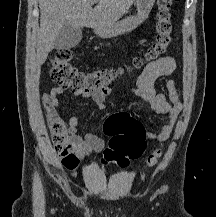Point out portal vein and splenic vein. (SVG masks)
I'll use <instances>...</instances> for the list:
<instances>
[{"label": "portal vein and splenic vein", "mask_w": 216, "mask_h": 217, "mask_svg": "<svg viewBox=\"0 0 216 217\" xmlns=\"http://www.w3.org/2000/svg\"><path fill=\"white\" fill-rule=\"evenodd\" d=\"M93 2H94V3H96V2H97V0H93Z\"/></svg>", "instance_id": "18ae733b"}]
</instances>
